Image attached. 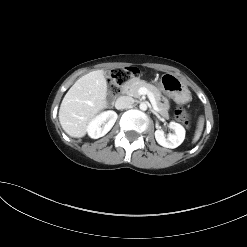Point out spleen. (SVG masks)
Masks as SVG:
<instances>
[{
	"mask_svg": "<svg viewBox=\"0 0 247 247\" xmlns=\"http://www.w3.org/2000/svg\"><path fill=\"white\" fill-rule=\"evenodd\" d=\"M203 124H204V118L200 117L198 121L197 130L195 132V136L193 138V143L197 142L201 136L202 130H203Z\"/></svg>",
	"mask_w": 247,
	"mask_h": 247,
	"instance_id": "spleen-1",
	"label": "spleen"
}]
</instances>
